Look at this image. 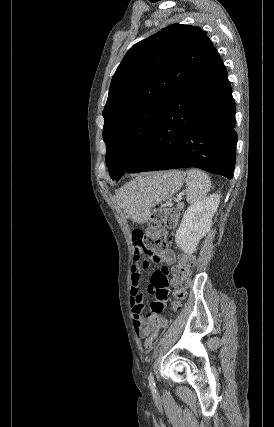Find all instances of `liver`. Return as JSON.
<instances>
[{
  "instance_id": "obj_1",
  "label": "liver",
  "mask_w": 274,
  "mask_h": 427,
  "mask_svg": "<svg viewBox=\"0 0 274 427\" xmlns=\"http://www.w3.org/2000/svg\"><path fill=\"white\" fill-rule=\"evenodd\" d=\"M118 200L120 202L121 208H123V210H125V206H124V204H122V200H121V190H119V192H118Z\"/></svg>"
}]
</instances>
